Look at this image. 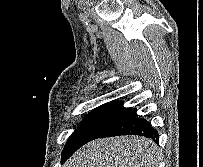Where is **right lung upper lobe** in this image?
<instances>
[{"label":"right lung upper lobe","instance_id":"right-lung-upper-lobe-1","mask_svg":"<svg viewBox=\"0 0 203 167\" xmlns=\"http://www.w3.org/2000/svg\"><path fill=\"white\" fill-rule=\"evenodd\" d=\"M110 104L117 105V106H122V102H120V101L112 102Z\"/></svg>","mask_w":203,"mask_h":167}]
</instances>
